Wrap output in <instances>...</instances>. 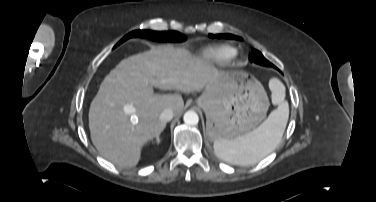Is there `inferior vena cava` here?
Segmentation results:
<instances>
[{"label": "inferior vena cava", "mask_w": 376, "mask_h": 202, "mask_svg": "<svg viewBox=\"0 0 376 202\" xmlns=\"http://www.w3.org/2000/svg\"><path fill=\"white\" fill-rule=\"evenodd\" d=\"M173 116H174L173 110L170 108H167L161 113L160 120L163 122H168L173 118Z\"/></svg>", "instance_id": "inferior-vena-cava-1"}]
</instances>
